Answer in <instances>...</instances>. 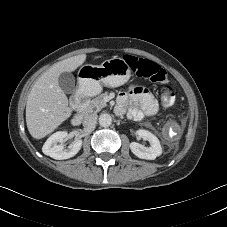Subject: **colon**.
Wrapping results in <instances>:
<instances>
[{
	"mask_svg": "<svg viewBox=\"0 0 227 227\" xmlns=\"http://www.w3.org/2000/svg\"><path fill=\"white\" fill-rule=\"evenodd\" d=\"M127 62L131 66L133 73L138 77L163 84L159 89V96L164 105L173 106L175 104L176 93L173 87L167 83V74L163 68L148 60L129 58Z\"/></svg>",
	"mask_w": 227,
	"mask_h": 227,
	"instance_id": "5ec220e1",
	"label": "colon"
}]
</instances>
